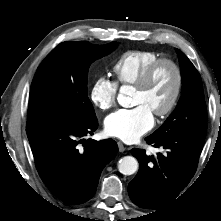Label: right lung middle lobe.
Returning a JSON list of instances; mask_svg holds the SVG:
<instances>
[{
  "label": "right lung middle lobe",
  "instance_id": "obj_1",
  "mask_svg": "<svg viewBox=\"0 0 221 221\" xmlns=\"http://www.w3.org/2000/svg\"><path fill=\"white\" fill-rule=\"evenodd\" d=\"M117 43L93 45L87 41L59 44L40 64L29 99L28 120L56 116L70 121L96 118L87 96L91 63L114 50Z\"/></svg>",
  "mask_w": 221,
  "mask_h": 221
}]
</instances>
